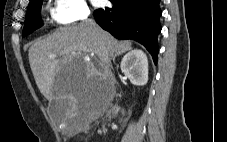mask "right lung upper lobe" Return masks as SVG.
I'll use <instances>...</instances> for the list:
<instances>
[{
    "label": "right lung upper lobe",
    "instance_id": "right-lung-upper-lobe-1",
    "mask_svg": "<svg viewBox=\"0 0 227 142\" xmlns=\"http://www.w3.org/2000/svg\"><path fill=\"white\" fill-rule=\"evenodd\" d=\"M33 1H35V0H30V2H33ZM30 2H29V3H30Z\"/></svg>",
    "mask_w": 227,
    "mask_h": 142
}]
</instances>
